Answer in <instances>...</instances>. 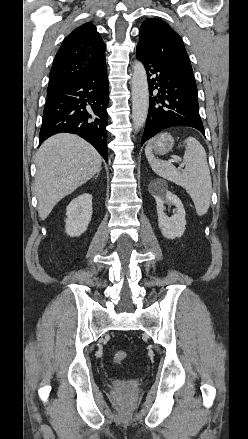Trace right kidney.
<instances>
[{
    "label": "right kidney",
    "mask_w": 248,
    "mask_h": 439,
    "mask_svg": "<svg viewBox=\"0 0 248 439\" xmlns=\"http://www.w3.org/2000/svg\"><path fill=\"white\" fill-rule=\"evenodd\" d=\"M65 232L71 237L83 234L92 218V195L83 193L74 198L66 208Z\"/></svg>",
    "instance_id": "obj_1"
}]
</instances>
